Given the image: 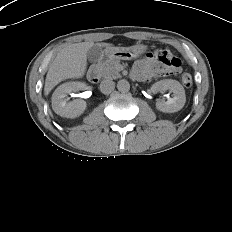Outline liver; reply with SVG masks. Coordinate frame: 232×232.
<instances>
[{"mask_svg":"<svg viewBox=\"0 0 232 232\" xmlns=\"http://www.w3.org/2000/svg\"><path fill=\"white\" fill-rule=\"evenodd\" d=\"M99 47L113 48L109 43H98ZM94 46L93 42L70 44L63 47L50 64L46 75L44 94L66 79L81 78L87 68V52Z\"/></svg>","mask_w":232,"mask_h":232,"instance_id":"1","label":"liver"}]
</instances>
